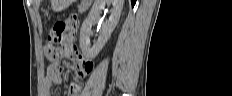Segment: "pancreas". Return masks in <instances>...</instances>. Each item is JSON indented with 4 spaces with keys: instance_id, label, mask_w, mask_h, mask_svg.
Instances as JSON below:
<instances>
[{
    "instance_id": "pancreas-1",
    "label": "pancreas",
    "mask_w": 232,
    "mask_h": 96,
    "mask_svg": "<svg viewBox=\"0 0 232 96\" xmlns=\"http://www.w3.org/2000/svg\"><path fill=\"white\" fill-rule=\"evenodd\" d=\"M89 4L88 3H82L80 6H79V11L80 12H85L88 8Z\"/></svg>"
}]
</instances>
